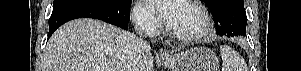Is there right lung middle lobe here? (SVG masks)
Returning <instances> with one entry per match:
<instances>
[{
    "mask_svg": "<svg viewBox=\"0 0 301 71\" xmlns=\"http://www.w3.org/2000/svg\"><path fill=\"white\" fill-rule=\"evenodd\" d=\"M74 1H89V2L106 4V5H117V6H126L131 3V0H54L53 7H57Z\"/></svg>",
    "mask_w": 301,
    "mask_h": 71,
    "instance_id": "dd1d6c3e",
    "label": "right lung middle lobe"
}]
</instances>
